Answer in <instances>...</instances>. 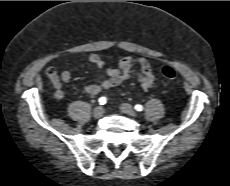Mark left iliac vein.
<instances>
[{"mask_svg":"<svg viewBox=\"0 0 230 186\" xmlns=\"http://www.w3.org/2000/svg\"><path fill=\"white\" fill-rule=\"evenodd\" d=\"M120 110L124 113V114H127L133 118H136L137 117V113L136 111L134 110V108L128 104V103H123L121 104L120 106Z\"/></svg>","mask_w":230,"mask_h":186,"instance_id":"obj_1","label":"left iliac vein"}]
</instances>
